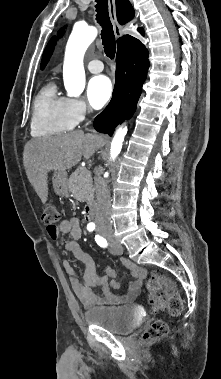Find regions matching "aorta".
<instances>
[{"label": "aorta", "mask_w": 221, "mask_h": 379, "mask_svg": "<svg viewBox=\"0 0 221 379\" xmlns=\"http://www.w3.org/2000/svg\"><path fill=\"white\" fill-rule=\"evenodd\" d=\"M97 36L93 26L76 25L68 39L64 65L63 80L68 96L78 97L85 87V71L83 66L84 54ZM127 127L120 126L113 137L110 149V160H115L121 152Z\"/></svg>", "instance_id": "1"}]
</instances>
